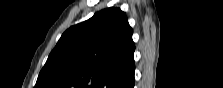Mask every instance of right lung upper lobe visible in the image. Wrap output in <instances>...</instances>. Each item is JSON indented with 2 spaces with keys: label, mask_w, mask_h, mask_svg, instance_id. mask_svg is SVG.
Instances as JSON below:
<instances>
[{
  "label": "right lung upper lobe",
  "mask_w": 223,
  "mask_h": 88,
  "mask_svg": "<svg viewBox=\"0 0 223 88\" xmlns=\"http://www.w3.org/2000/svg\"><path fill=\"white\" fill-rule=\"evenodd\" d=\"M132 28L117 7L64 32L35 88H127L134 80Z\"/></svg>",
  "instance_id": "cb5924a9"
}]
</instances>
